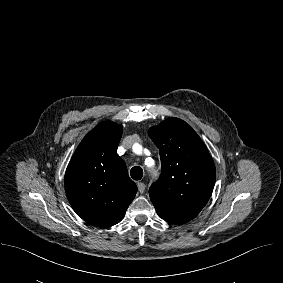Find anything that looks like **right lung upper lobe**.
I'll return each mask as SVG.
<instances>
[{
	"label": "right lung upper lobe",
	"mask_w": 283,
	"mask_h": 283,
	"mask_svg": "<svg viewBox=\"0 0 283 283\" xmlns=\"http://www.w3.org/2000/svg\"><path fill=\"white\" fill-rule=\"evenodd\" d=\"M122 126L103 121L77 147L65 173V191L74 211L87 223L110 227L119 223L137 186L116 153Z\"/></svg>",
	"instance_id": "obj_1"
}]
</instances>
